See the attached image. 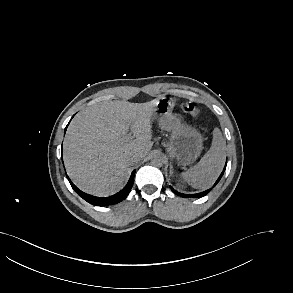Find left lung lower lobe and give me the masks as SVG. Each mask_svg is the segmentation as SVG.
<instances>
[{
  "mask_svg": "<svg viewBox=\"0 0 293 293\" xmlns=\"http://www.w3.org/2000/svg\"><path fill=\"white\" fill-rule=\"evenodd\" d=\"M227 163V162H226ZM226 169V164H225V167H224V170L222 171L221 175L219 176V178L217 179V181L215 182L214 186L220 181L221 177L223 176V173ZM213 186V187H214ZM172 191L178 195H181L183 197H192V198H198V197H203L205 196L206 194H208L210 192V189L209 190H206L204 192H201V193H197V194H190V195H186V194H181V193H178L177 191H175L173 188H171Z\"/></svg>",
  "mask_w": 293,
  "mask_h": 293,
  "instance_id": "0a47b994",
  "label": "left lung lower lobe"
}]
</instances>
